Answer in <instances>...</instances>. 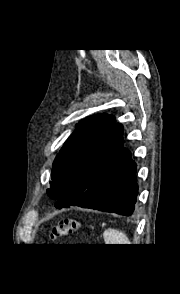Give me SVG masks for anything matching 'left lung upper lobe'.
<instances>
[{
	"mask_svg": "<svg viewBox=\"0 0 180 294\" xmlns=\"http://www.w3.org/2000/svg\"><path fill=\"white\" fill-rule=\"evenodd\" d=\"M76 126L53 162L52 181L47 190L52 199L60 200L66 196L76 178L117 125L113 116L96 114Z\"/></svg>",
	"mask_w": 180,
	"mask_h": 294,
	"instance_id": "left-lung-upper-lobe-1",
	"label": "left lung upper lobe"
}]
</instances>
